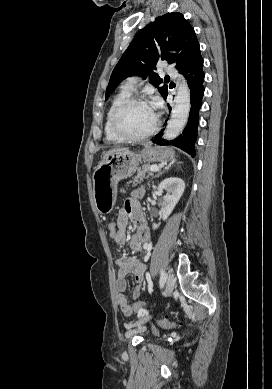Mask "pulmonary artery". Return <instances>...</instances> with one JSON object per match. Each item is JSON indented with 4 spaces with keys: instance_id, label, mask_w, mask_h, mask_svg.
Instances as JSON below:
<instances>
[{
    "instance_id": "e3ab8cb5",
    "label": "pulmonary artery",
    "mask_w": 272,
    "mask_h": 389,
    "mask_svg": "<svg viewBox=\"0 0 272 389\" xmlns=\"http://www.w3.org/2000/svg\"><path fill=\"white\" fill-rule=\"evenodd\" d=\"M165 71L168 75L172 77H176L178 75L177 70L174 68L172 64H167ZM138 78L132 77L130 78L124 85V88L133 91L135 89V86L137 84Z\"/></svg>"
}]
</instances>
